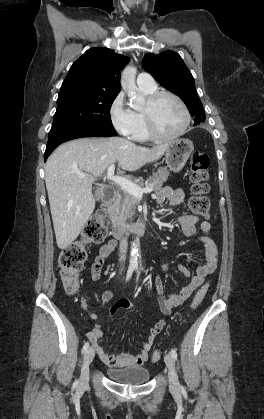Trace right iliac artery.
<instances>
[{
  "label": "right iliac artery",
  "instance_id": "obj_1",
  "mask_svg": "<svg viewBox=\"0 0 264 419\" xmlns=\"http://www.w3.org/2000/svg\"><path fill=\"white\" fill-rule=\"evenodd\" d=\"M132 273H133V268H132V267H130V268L128 269V271H127L126 281H128V280L130 279V277H131ZM88 348H89V342H86V343L84 344V346H83L82 353H85V352L87 351V349H88ZM77 383H78V382H77ZM77 383H76V384H77Z\"/></svg>",
  "mask_w": 264,
  "mask_h": 419
}]
</instances>
